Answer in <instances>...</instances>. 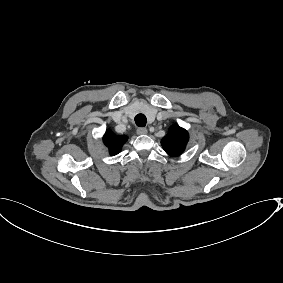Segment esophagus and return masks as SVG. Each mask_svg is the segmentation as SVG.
I'll use <instances>...</instances> for the list:
<instances>
[{
	"label": "esophagus",
	"instance_id": "obj_1",
	"mask_svg": "<svg viewBox=\"0 0 283 283\" xmlns=\"http://www.w3.org/2000/svg\"><path fill=\"white\" fill-rule=\"evenodd\" d=\"M147 129L146 128H138L137 129V134L138 135H145V134H147Z\"/></svg>",
	"mask_w": 283,
	"mask_h": 283
}]
</instances>
